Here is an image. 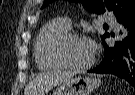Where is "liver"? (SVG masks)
Segmentation results:
<instances>
[{
    "instance_id": "6515ba94",
    "label": "liver",
    "mask_w": 135,
    "mask_h": 95,
    "mask_svg": "<svg viewBox=\"0 0 135 95\" xmlns=\"http://www.w3.org/2000/svg\"><path fill=\"white\" fill-rule=\"evenodd\" d=\"M73 72L47 71L39 74L25 90V95H44L52 87L72 78Z\"/></svg>"
}]
</instances>
